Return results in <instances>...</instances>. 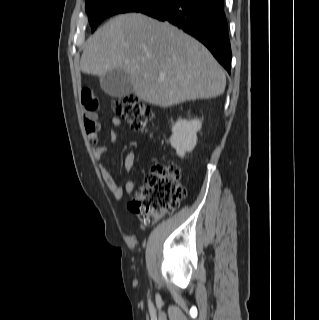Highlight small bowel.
<instances>
[{
    "instance_id": "obj_1",
    "label": "small bowel",
    "mask_w": 319,
    "mask_h": 320,
    "mask_svg": "<svg viewBox=\"0 0 319 320\" xmlns=\"http://www.w3.org/2000/svg\"><path fill=\"white\" fill-rule=\"evenodd\" d=\"M81 100L84 106V127L89 140L94 143V157L100 162L105 157L107 148L98 143V132L101 128L97 114L98 103L94 99L93 92L89 88L82 89ZM112 124L115 128H119L122 126V121L119 117H114L112 119ZM110 137L112 141H116L118 138V133L113 130L110 133ZM135 161L136 154L134 152H128L124 158V169L126 171H130L133 168ZM99 169L104 183L110 189L115 198L122 199L124 192L128 194L134 193L136 184L133 180H129L126 183L125 188H122L117 183L111 172L104 165L100 164Z\"/></svg>"
}]
</instances>
